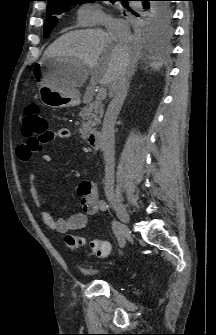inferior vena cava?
<instances>
[{"label": "inferior vena cava", "mask_w": 216, "mask_h": 335, "mask_svg": "<svg viewBox=\"0 0 216 335\" xmlns=\"http://www.w3.org/2000/svg\"><path fill=\"white\" fill-rule=\"evenodd\" d=\"M105 26L108 35L119 45L131 40L129 24L123 19L109 17ZM132 62L123 57L113 87V98L106 111L102 128V150L105 162L104 186L106 190L114 188L115 166V122L125 100L129 78L132 75Z\"/></svg>", "instance_id": "inferior-vena-cava-1"}]
</instances>
